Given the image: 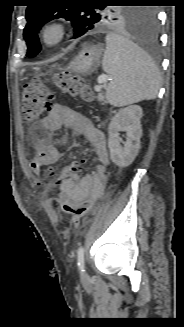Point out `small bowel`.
<instances>
[{
    "label": "small bowel",
    "instance_id": "1",
    "mask_svg": "<svg viewBox=\"0 0 184 327\" xmlns=\"http://www.w3.org/2000/svg\"><path fill=\"white\" fill-rule=\"evenodd\" d=\"M42 125L47 131H56L62 127L72 129L77 135L82 136L89 142L94 149L97 157V164L91 173L79 178L84 166H87V159H75L74 153H63L62 159L66 160V165L60 170H54V165L60 160L58 148L47 139H37L36 155L31 162V168L35 173L37 166L41 165L44 171L42 179L45 183L41 184V193L50 195L51 189L59 193L55 196V201L60 206H65L64 202H80L81 200H91L92 203L97 201L105 188L107 175L106 169L110 163L109 153L105 136L86 116L76 110L65 106L61 103H54L48 114L43 118ZM61 167L59 164L56 166ZM59 177V178H54ZM51 185V189L48 188ZM64 199L62 203L60 200Z\"/></svg>",
    "mask_w": 184,
    "mask_h": 327
}]
</instances>
